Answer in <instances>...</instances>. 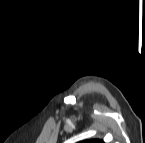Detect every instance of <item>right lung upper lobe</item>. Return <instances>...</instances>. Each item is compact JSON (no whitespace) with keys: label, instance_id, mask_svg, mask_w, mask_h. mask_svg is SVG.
I'll use <instances>...</instances> for the list:
<instances>
[{"label":"right lung upper lobe","instance_id":"1","mask_svg":"<svg viewBox=\"0 0 145 143\" xmlns=\"http://www.w3.org/2000/svg\"><path fill=\"white\" fill-rule=\"evenodd\" d=\"M85 143H102V141L100 140H89V141H85Z\"/></svg>","mask_w":145,"mask_h":143}]
</instances>
